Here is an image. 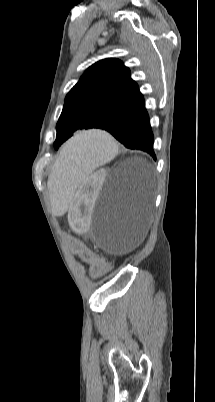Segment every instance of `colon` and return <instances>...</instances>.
I'll list each match as a JSON object with an SVG mask.
<instances>
[{"label":"colon","mask_w":215,"mask_h":402,"mask_svg":"<svg viewBox=\"0 0 215 402\" xmlns=\"http://www.w3.org/2000/svg\"><path fill=\"white\" fill-rule=\"evenodd\" d=\"M61 227V226H60ZM59 237L63 236L64 243H71V248L74 253H78L79 260L93 259V272L100 274L109 268V263L103 259L104 254L102 251H94L92 245H82L79 239H75L70 232H59Z\"/></svg>","instance_id":"obj_1"}]
</instances>
